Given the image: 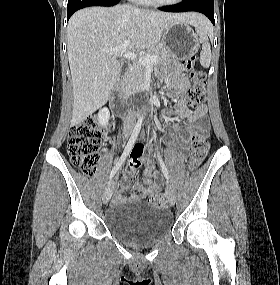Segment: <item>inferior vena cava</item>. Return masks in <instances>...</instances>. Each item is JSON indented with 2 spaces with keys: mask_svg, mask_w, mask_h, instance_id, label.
Wrapping results in <instances>:
<instances>
[{
  "mask_svg": "<svg viewBox=\"0 0 280 285\" xmlns=\"http://www.w3.org/2000/svg\"><path fill=\"white\" fill-rule=\"evenodd\" d=\"M133 122H134V116H133L132 113H129V114L127 115V117L125 118V120H124V124H125V125H132Z\"/></svg>",
  "mask_w": 280,
  "mask_h": 285,
  "instance_id": "inferior-vena-cava-1",
  "label": "inferior vena cava"
}]
</instances>
